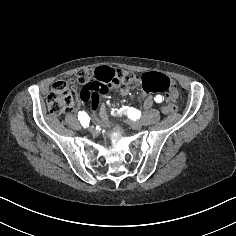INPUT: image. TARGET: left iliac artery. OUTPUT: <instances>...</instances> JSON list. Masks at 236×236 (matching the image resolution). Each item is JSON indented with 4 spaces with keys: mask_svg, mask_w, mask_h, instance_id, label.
<instances>
[{
    "mask_svg": "<svg viewBox=\"0 0 236 236\" xmlns=\"http://www.w3.org/2000/svg\"><path fill=\"white\" fill-rule=\"evenodd\" d=\"M154 100L157 102V103H160L164 100V97H162L161 95H157ZM124 109H128V106H123L122 108H120V110L116 109L118 111V113H120L121 111H123ZM114 110V109H112ZM114 112L112 111L111 114H113Z\"/></svg>",
    "mask_w": 236,
    "mask_h": 236,
    "instance_id": "obj_1",
    "label": "left iliac artery"
}]
</instances>
